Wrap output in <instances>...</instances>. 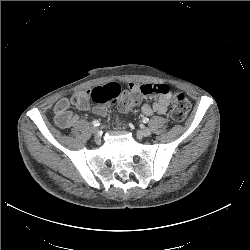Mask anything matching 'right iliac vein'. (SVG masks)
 <instances>
[{"label":"right iliac vein","mask_w":250,"mask_h":250,"mask_svg":"<svg viewBox=\"0 0 250 250\" xmlns=\"http://www.w3.org/2000/svg\"><path fill=\"white\" fill-rule=\"evenodd\" d=\"M91 132L95 135V136H97L98 135V133H99V130H98V128H96V127H91Z\"/></svg>","instance_id":"right-iliac-vein-1"}]
</instances>
